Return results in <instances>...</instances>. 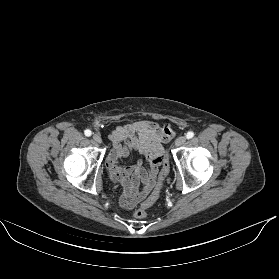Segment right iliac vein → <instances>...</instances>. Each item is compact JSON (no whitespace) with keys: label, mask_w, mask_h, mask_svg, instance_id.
Segmentation results:
<instances>
[{"label":"right iliac vein","mask_w":279,"mask_h":279,"mask_svg":"<svg viewBox=\"0 0 279 279\" xmlns=\"http://www.w3.org/2000/svg\"><path fill=\"white\" fill-rule=\"evenodd\" d=\"M93 140L97 143H102V138L99 134H94L93 135Z\"/></svg>","instance_id":"right-iliac-vein-1"}]
</instances>
